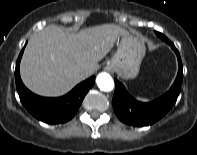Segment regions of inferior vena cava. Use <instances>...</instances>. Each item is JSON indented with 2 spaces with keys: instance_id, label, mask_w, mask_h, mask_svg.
Returning a JSON list of instances; mask_svg holds the SVG:
<instances>
[{
  "instance_id": "1",
  "label": "inferior vena cava",
  "mask_w": 197,
  "mask_h": 155,
  "mask_svg": "<svg viewBox=\"0 0 197 155\" xmlns=\"http://www.w3.org/2000/svg\"><path fill=\"white\" fill-rule=\"evenodd\" d=\"M87 70L86 69H83V72H86Z\"/></svg>"
}]
</instances>
